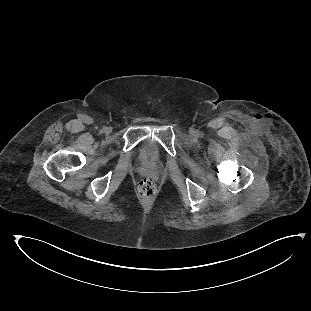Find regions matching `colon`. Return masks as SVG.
<instances>
[{"instance_id": "obj_1", "label": "colon", "mask_w": 311, "mask_h": 311, "mask_svg": "<svg viewBox=\"0 0 311 311\" xmlns=\"http://www.w3.org/2000/svg\"><path fill=\"white\" fill-rule=\"evenodd\" d=\"M137 191L141 196H151L156 191V185L152 178L150 177H143L137 183Z\"/></svg>"}]
</instances>
